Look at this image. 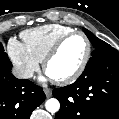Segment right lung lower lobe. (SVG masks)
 Wrapping results in <instances>:
<instances>
[{"instance_id":"right-lung-lower-lobe-1","label":"right lung lower lobe","mask_w":119,"mask_h":119,"mask_svg":"<svg viewBox=\"0 0 119 119\" xmlns=\"http://www.w3.org/2000/svg\"><path fill=\"white\" fill-rule=\"evenodd\" d=\"M11 69L0 67V119H29L45 93L33 82L15 78Z\"/></svg>"}]
</instances>
